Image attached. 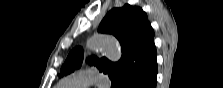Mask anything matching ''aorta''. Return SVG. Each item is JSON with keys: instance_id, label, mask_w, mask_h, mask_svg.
Returning <instances> with one entry per match:
<instances>
[{"instance_id": "aorta-1", "label": "aorta", "mask_w": 223, "mask_h": 88, "mask_svg": "<svg viewBox=\"0 0 223 88\" xmlns=\"http://www.w3.org/2000/svg\"><path fill=\"white\" fill-rule=\"evenodd\" d=\"M90 50L101 51L110 61L116 62L121 58L119 42L112 36L96 34L87 41Z\"/></svg>"}]
</instances>
